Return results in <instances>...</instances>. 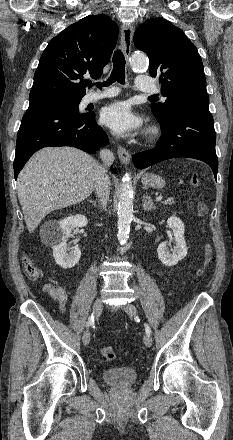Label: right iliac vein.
Returning a JSON list of instances; mask_svg holds the SVG:
<instances>
[{
  "label": "right iliac vein",
  "mask_w": 233,
  "mask_h": 440,
  "mask_svg": "<svg viewBox=\"0 0 233 440\" xmlns=\"http://www.w3.org/2000/svg\"><path fill=\"white\" fill-rule=\"evenodd\" d=\"M103 309L102 300L99 298L93 304V315L94 317H98ZM82 341L84 345H88L90 341V330L87 328L83 334Z\"/></svg>",
  "instance_id": "right-iliac-vein-1"
}]
</instances>
